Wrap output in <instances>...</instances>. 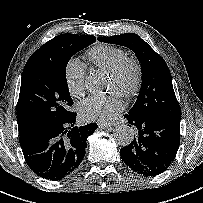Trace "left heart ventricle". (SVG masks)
Returning <instances> with one entry per match:
<instances>
[{"mask_svg":"<svg viewBox=\"0 0 203 203\" xmlns=\"http://www.w3.org/2000/svg\"><path fill=\"white\" fill-rule=\"evenodd\" d=\"M132 81V69L126 67L119 74L112 77L113 87L121 93H124Z\"/></svg>","mask_w":203,"mask_h":203,"instance_id":"b2bd125f","label":"left heart ventricle"}]
</instances>
